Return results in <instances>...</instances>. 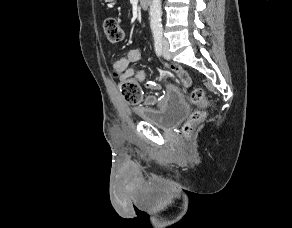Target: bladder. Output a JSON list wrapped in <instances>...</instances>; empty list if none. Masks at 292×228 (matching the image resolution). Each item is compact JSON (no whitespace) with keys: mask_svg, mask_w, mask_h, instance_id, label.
<instances>
[{"mask_svg":"<svg viewBox=\"0 0 292 228\" xmlns=\"http://www.w3.org/2000/svg\"><path fill=\"white\" fill-rule=\"evenodd\" d=\"M189 109V105L186 102H181L163 114L144 115L142 120L153 126L168 129L182 120L188 114Z\"/></svg>","mask_w":292,"mask_h":228,"instance_id":"obj_1","label":"bladder"}]
</instances>
